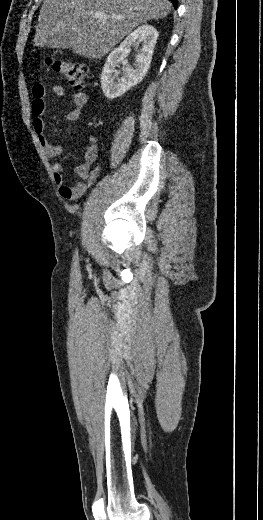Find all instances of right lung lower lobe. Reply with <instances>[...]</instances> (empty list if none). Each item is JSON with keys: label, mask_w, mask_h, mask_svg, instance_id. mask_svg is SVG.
<instances>
[{"label": "right lung lower lobe", "mask_w": 263, "mask_h": 520, "mask_svg": "<svg viewBox=\"0 0 263 520\" xmlns=\"http://www.w3.org/2000/svg\"><path fill=\"white\" fill-rule=\"evenodd\" d=\"M172 2L174 8L176 9L177 8V3H178V0H169Z\"/></svg>", "instance_id": "1"}]
</instances>
